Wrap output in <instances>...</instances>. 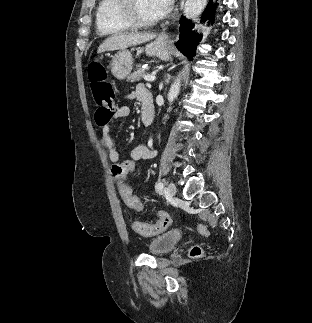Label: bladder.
Here are the masks:
<instances>
[{"instance_id":"obj_1","label":"bladder","mask_w":312,"mask_h":323,"mask_svg":"<svg viewBox=\"0 0 312 323\" xmlns=\"http://www.w3.org/2000/svg\"><path fill=\"white\" fill-rule=\"evenodd\" d=\"M179 241V233L175 230L156 235L149 241V252L154 256H159L173 250Z\"/></svg>"}]
</instances>
